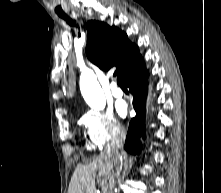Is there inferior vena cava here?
I'll return each mask as SVG.
<instances>
[{
    "instance_id": "1",
    "label": "inferior vena cava",
    "mask_w": 221,
    "mask_h": 193,
    "mask_svg": "<svg viewBox=\"0 0 221 193\" xmlns=\"http://www.w3.org/2000/svg\"><path fill=\"white\" fill-rule=\"evenodd\" d=\"M124 141H125V132L119 129L117 132L113 134L111 143L108 146L107 151L113 154L114 165H115L114 173L110 177L108 193H113L115 178L119 177L120 171L122 169V156L119 151L120 149L123 148Z\"/></svg>"
}]
</instances>
